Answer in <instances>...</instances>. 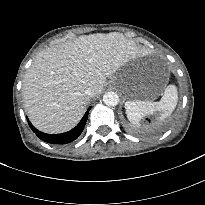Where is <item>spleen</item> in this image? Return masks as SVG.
I'll return each instance as SVG.
<instances>
[{
	"label": "spleen",
	"instance_id": "1",
	"mask_svg": "<svg viewBox=\"0 0 205 205\" xmlns=\"http://www.w3.org/2000/svg\"><path fill=\"white\" fill-rule=\"evenodd\" d=\"M178 102V93L175 85H169L165 88L164 95L159 102L148 100L143 101H127L125 109L127 118L133 124H138L140 120L154 112H163L162 117H166L172 113Z\"/></svg>",
	"mask_w": 205,
	"mask_h": 205
}]
</instances>
